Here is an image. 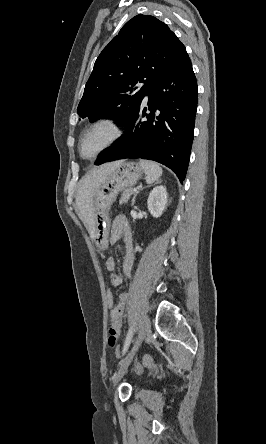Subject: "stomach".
Wrapping results in <instances>:
<instances>
[{"instance_id": "obj_1", "label": "stomach", "mask_w": 266, "mask_h": 444, "mask_svg": "<svg viewBox=\"0 0 266 444\" xmlns=\"http://www.w3.org/2000/svg\"><path fill=\"white\" fill-rule=\"evenodd\" d=\"M143 168L135 162L122 161L99 186L93 198L94 238L101 243L109 230V209L118 193L130 188L142 176Z\"/></svg>"}]
</instances>
